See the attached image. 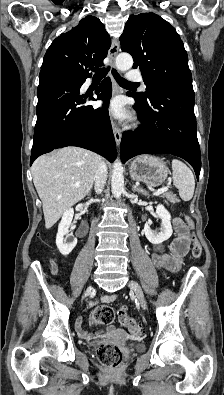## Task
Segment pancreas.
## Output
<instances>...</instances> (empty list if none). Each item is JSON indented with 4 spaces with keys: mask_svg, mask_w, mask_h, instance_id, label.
<instances>
[{
    "mask_svg": "<svg viewBox=\"0 0 224 395\" xmlns=\"http://www.w3.org/2000/svg\"><path fill=\"white\" fill-rule=\"evenodd\" d=\"M162 197L165 198L167 201H169L171 203H176V202L179 201L177 196L175 194H173V193H170V192L164 193L162 195ZM167 201H165V202L167 203Z\"/></svg>",
    "mask_w": 224,
    "mask_h": 395,
    "instance_id": "1",
    "label": "pancreas"
}]
</instances>
